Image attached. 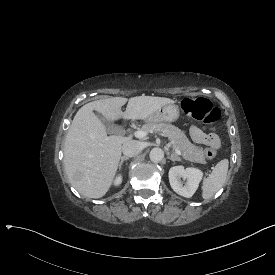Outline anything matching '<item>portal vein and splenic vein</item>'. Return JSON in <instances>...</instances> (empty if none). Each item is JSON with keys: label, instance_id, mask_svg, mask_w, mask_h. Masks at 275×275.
I'll return each mask as SVG.
<instances>
[{"label": "portal vein and splenic vein", "instance_id": "18ae733b", "mask_svg": "<svg viewBox=\"0 0 275 275\" xmlns=\"http://www.w3.org/2000/svg\"><path fill=\"white\" fill-rule=\"evenodd\" d=\"M150 133H152L151 130L137 131V132H135V136H136L137 138H143V137L149 135ZM171 145H172V143H168V146H171ZM174 151H175L177 154H179V150H178V149L174 148Z\"/></svg>", "mask_w": 275, "mask_h": 275}]
</instances>
